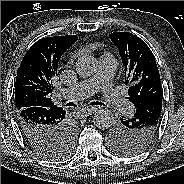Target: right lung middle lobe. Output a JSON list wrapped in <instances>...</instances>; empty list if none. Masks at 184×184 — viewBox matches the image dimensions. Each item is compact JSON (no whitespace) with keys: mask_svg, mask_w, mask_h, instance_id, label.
I'll use <instances>...</instances> for the list:
<instances>
[{"mask_svg":"<svg viewBox=\"0 0 184 184\" xmlns=\"http://www.w3.org/2000/svg\"><path fill=\"white\" fill-rule=\"evenodd\" d=\"M74 144L75 130L73 129V127H70L65 134L64 140L59 146L49 149H43L38 153L46 159L61 160L67 158L70 155Z\"/></svg>","mask_w":184,"mask_h":184,"instance_id":"dd1d6c3e","label":"right lung middle lobe"}]
</instances>
